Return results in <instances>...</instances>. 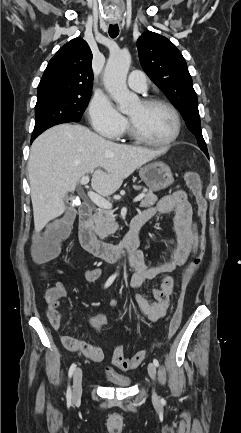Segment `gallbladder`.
Here are the masks:
<instances>
[{
  "mask_svg": "<svg viewBox=\"0 0 241 433\" xmlns=\"http://www.w3.org/2000/svg\"><path fill=\"white\" fill-rule=\"evenodd\" d=\"M71 199H72L71 197L66 196V200H71ZM69 211H70V214L73 215V216H74L75 213H76V211H75L73 208H70Z\"/></svg>",
  "mask_w": 241,
  "mask_h": 433,
  "instance_id": "obj_1",
  "label": "gallbladder"
}]
</instances>
